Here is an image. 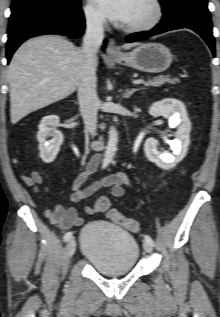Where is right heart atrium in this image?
<instances>
[{"label": "right heart atrium", "instance_id": "d8ad5b80", "mask_svg": "<svg viewBox=\"0 0 220 317\" xmlns=\"http://www.w3.org/2000/svg\"><path fill=\"white\" fill-rule=\"evenodd\" d=\"M83 13L87 24L93 28H102L106 22L102 14L90 3L83 7Z\"/></svg>", "mask_w": 220, "mask_h": 317}]
</instances>
